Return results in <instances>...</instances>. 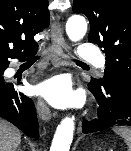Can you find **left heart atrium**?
<instances>
[{
	"mask_svg": "<svg viewBox=\"0 0 131 151\" xmlns=\"http://www.w3.org/2000/svg\"><path fill=\"white\" fill-rule=\"evenodd\" d=\"M34 92L44 96L53 105L65 107L78 101V95L73 92L70 82L64 77L47 80L37 87Z\"/></svg>",
	"mask_w": 131,
	"mask_h": 151,
	"instance_id": "left-heart-atrium-1",
	"label": "left heart atrium"
}]
</instances>
